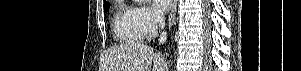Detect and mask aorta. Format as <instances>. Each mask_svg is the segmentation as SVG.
Listing matches in <instances>:
<instances>
[{
    "label": "aorta",
    "mask_w": 301,
    "mask_h": 71,
    "mask_svg": "<svg viewBox=\"0 0 301 71\" xmlns=\"http://www.w3.org/2000/svg\"><path fill=\"white\" fill-rule=\"evenodd\" d=\"M136 2H139V3H142L144 2L145 0H135Z\"/></svg>",
    "instance_id": "1"
}]
</instances>
